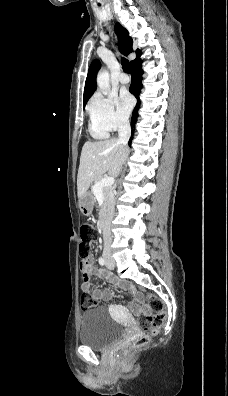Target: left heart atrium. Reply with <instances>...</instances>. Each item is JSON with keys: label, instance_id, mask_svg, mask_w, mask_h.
<instances>
[{"label": "left heart atrium", "instance_id": "39dd6f15", "mask_svg": "<svg viewBox=\"0 0 228 396\" xmlns=\"http://www.w3.org/2000/svg\"><path fill=\"white\" fill-rule=\"evenodd\" d=\"M133 105V97L127 91H122L117 98V107L121 115L126 117L130 113Z\"/></svg>", "mask_w": 228, "mask_h": 396}]
</instances>
